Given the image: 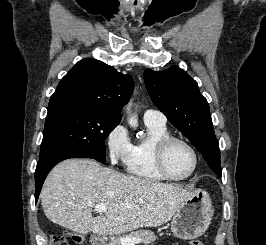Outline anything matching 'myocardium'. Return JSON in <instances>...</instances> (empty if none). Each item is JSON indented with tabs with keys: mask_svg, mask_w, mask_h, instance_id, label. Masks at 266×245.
Segmentation results:
<instances>
[{
	"mask_svg": "<svg viewBox=\"0 0 266 245\" xmlns=\"http://www.w3.org/2000/svg\"><path fill=\"white\" fill-rule=\"evenodd\" d=\"M174 142H181L183 144H185L187 147L190 148V150L192 151L193 155H194V167L192 169V171L185 177L183 178H175L174 176L171 175V173L168 171L167 167H166V152L169 148V146L174 143ZM154 159H155V164L156 167L159 171V173L166 179L169 181H174V182H184L189 180L190 178H192L195 173L198 170L199 167V163H200V157H199V153L196 149V147L187 139L180 137V136H175V135H168L166 137L161 138L157 144L155 145L154 148Z\"/></svg>",
	"mask_w": 266,
	"mask_h": 245,
	"instance_id": "1",
	"label": "myocardium"
}]
</instances>
